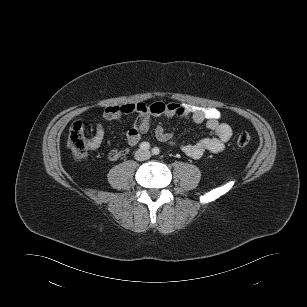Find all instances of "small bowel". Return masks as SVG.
Listing matches in <instances>:
<instances>
[{
	"label": "small bowel",
	"instance_id": "small-bowel-1",
	"mask_svg": "<svg viewBox=\"0 0 307 307\" xmlns=\"http://www.w3.org/2000/svg\"><path fill=\"white\" fill-rule=\"evenodd\" d=\"M137 115L134 125L127 131V143L135 146L141 141L143 134L149 132L155 119L159 122L154 128L156 138L180 149L185 155L193 159L201 158L205 152L220 153L232 136V129L227 123L220 122V112L212 107H199L180 103L155 102L150 105L144 103H128L121 106L108 107L104 112L107 121H116L124 115ZM170 117L191 118L195 123H204L211 136L196 143L187 144L174 140L173 133L166 130L162 121ZM105 129L101 123L95 127V134L90 140L92 149L98 148L104 140ZM128 153V148L112 149L108 158L115 161Z\"/></svg>",
	"mask_w": 307,
	"mask_h": 307
}]
</instances>
